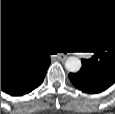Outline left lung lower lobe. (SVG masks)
Instances as JSON below:
<instances>
[{
	"mask_svg": "<svg viewBox=\"0 0 115 114\" xmlns=\"http://www.w3.org/2000/svg\"><path fill=\"white\" fill-rule=\"evenodd\" d=\"M69 78L76 88L87 93H99L115 82L114 78L87 70L70 73Z\"/></svg>",
	"mask_w": 115,
	"mask_h": 114,
	"instance_id": "0a47b994",
	"label": "left lung lower lobe"
}]
</instances>
